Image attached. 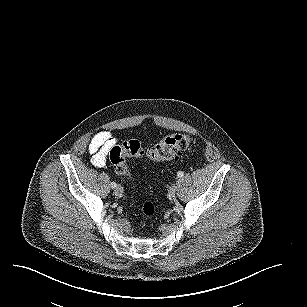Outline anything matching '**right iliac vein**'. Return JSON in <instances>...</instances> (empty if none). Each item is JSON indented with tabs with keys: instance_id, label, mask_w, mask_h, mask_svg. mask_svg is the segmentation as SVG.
Returning a JSON list of instances; mask_svg holds the SVG:
<instances>
[{
	"instance_id": "63e3f726",
	"label": "right iliac vein",
	"mask_w": 307,
	"mask_h": 307,
	"mask_svg": "<svg viewBox=\"0 0 307 307\" xmlns=\"http://www.w3.org/2000/svg\"><path fill=\"white\" fill-rule=\"evenodd\" d=\"M114 193H115V195L116 196H120V195H122V193H123V189H122V187L121 186H116L115 187V189H114Z\"/></svg>"
}]
</instances>
